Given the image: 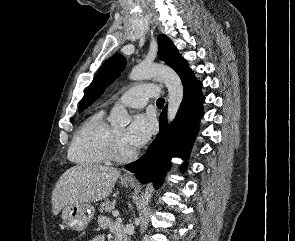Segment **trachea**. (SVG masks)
I'll return each instance as SVG.
<instances>
[{"label":"trachea","mask_w":295,"mask_h":241,"mask_svg":"<svg viewBox=\"0 0 295 241\" xmlns=\"http://www.w3.org/2000/svg\"><path fill=\"white\" fill-rule=\"evenodd\" d=\"M158 107H163L164 105V99L163 98H159L156 102Z\"/></svg>","instance_id":"1"}]
</instances>
